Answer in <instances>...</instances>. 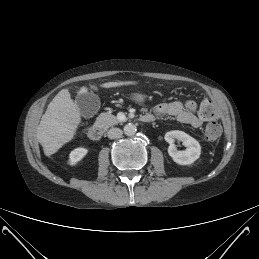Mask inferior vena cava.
Instances as JSON below:
<instances>
[{"label": "inferior vena cava", "mask_w": 259, "mask_h": 259, "mask_svg": "<svg viewBox=\"0 0 259 259\" xmlns=\"http://www.w3.org/2000/svg\"><path fill=\"white\" fill-rule=\"evenodd\" d=\"M123 132L121 129L119 128H111L108 133L107 136L110 139H117L120 138L122 136Z\"/></svg>", "instance_id": "inferior-vena-cava-1"}]
</instances>
